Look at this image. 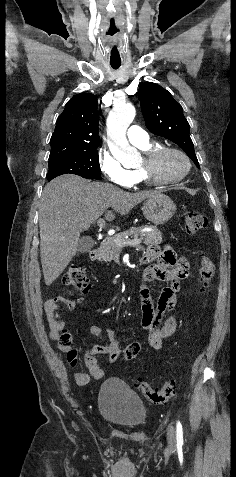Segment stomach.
<instances>
[{"instance_id":"stomach-1","label":"stomach","mask_w":236,"mask_h":477,"mask_svg":"<svg viewBox=\"0 0 236 477\" xmlns=\"http://www.w3.org/2000/svg\"><path fill=\"white\" fill-rule=\"evenodd\" d=\"M142 211L147 220L155 225H162L172 218L176 206L169 196L160 192L144 202Z\"/></svg>"}]
</instances>
